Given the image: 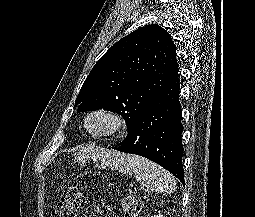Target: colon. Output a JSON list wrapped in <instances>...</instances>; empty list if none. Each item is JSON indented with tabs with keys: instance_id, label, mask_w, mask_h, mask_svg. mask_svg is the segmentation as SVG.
I'll return each instance as SVG.
<instances>
[{
	"instance_id": "colon-1",
	"label": "colon",
	"mask_w": 255,
	"mask_h": 217,
	"mask_svg": "<svg viewBox=\"0 0 255 217\" xmlns=\"http://www.w3.org/2000/svg\"><path fill=\"white\" fill-rule=\"evenodd\" d=\"M85 196L77 188L64 190L61 202L53 209L52 217H76V213L84 208ZM126 217H137L142 209V202L136 196H127L122 202Z\"/></svg>"
}]
</instances>
